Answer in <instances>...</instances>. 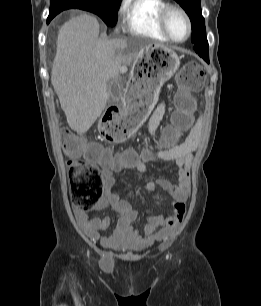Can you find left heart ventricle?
Segmentation results:
<instances>
[{
    "instance_id": "1",
    "label": "left heart ventricle",
    "mask_w": 261,
    "mask_h": 306,
    "mask_svg": "<svg viewBox=\"0 0 261 306\" xmlns=\"http://www.w3.org/2000/svg\"><path fill=\"white\" fill-rule=\"evenodd\" d=\"M167 26L170 34L177 40L183 39L187 34L185 20L178 12H171L167 18Z\"/></svg>"
}]
</instances>
